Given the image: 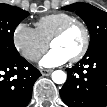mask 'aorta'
<instances>
[{
	"instance_id": "1",
	"label": "aorta",
	"mask_w": 107,
	"mask_h": 107,
	"mask_svg": "<svg viewBox=\"0 0 107 107\" xmlns=\"http://www.w3.org/2000/svg\"><path fill=\"white\" fill-rule=\"evenodd\" d=\"M67 78V75L64 71L62 70H56L52 73V80L56 83V84H63L65 83Z\"/></svg>"
}]
</instances>
